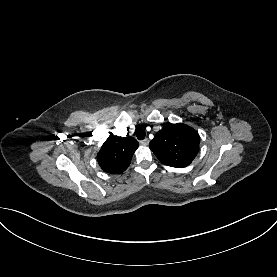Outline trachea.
Here are the masks:
<instances>
[{
	"label": "trachea",
	"instance_id": "3493384b",
	"mask_svg": "<svg viewBox=\"0 0 277 277\" xmlns=\"http://www.w3.org/2000/svg\"><path fill=\"white\" fill-rule=\"evenodd\" d=\"M146 136V132L143 128H138L136 130V137L138 138V140H143Z\"/></svg>",
	"mask_w": 277,
	"mask_h": 277
}]
</instances>
